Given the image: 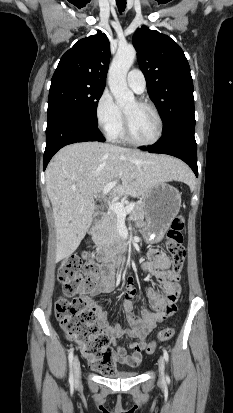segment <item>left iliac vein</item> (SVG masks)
I'll list each match as a JSON object with an SVG mask.
<instances>
[{"instance_id":"4c4485c4","label":"left iliac vein","mask_w":233,"mask_h":413,"mask_svg":"<svg viewBox=\"0 0 233 413\" xmlns=\"http://www.w3.org/2000/svg\"><path fill=\"white\" fill-rule=\"evenodd\" d=\"M158 365H159V381L162 383L165 380V373H164V371H165V361H164L163 356H161L159 358Z\"/></svg>"}]
</instances>
